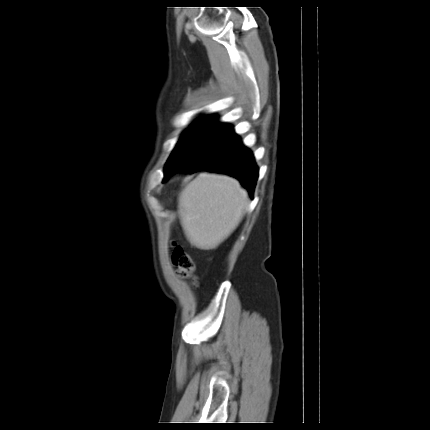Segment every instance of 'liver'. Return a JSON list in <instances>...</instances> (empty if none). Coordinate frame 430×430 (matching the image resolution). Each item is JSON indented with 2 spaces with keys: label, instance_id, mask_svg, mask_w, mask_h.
Listing matches in <instances>:
<instances>
[{
  "label": "liver",
  "instance_id": "1",
  "mask_svg": "<svg viewBox=\"0 0 430 430\" xmlns=\"http://www.w3.org/2000/svg\"><path fill=\"white\" fill-rule=\"evenodd\" d=\"M247 205V192L235 178L199 174L179 199L187 239L199 249L216 248L238 226Z\"/></svg>",
  "mask_w": 430,
  "mask_h": 430
}]
</instances>
